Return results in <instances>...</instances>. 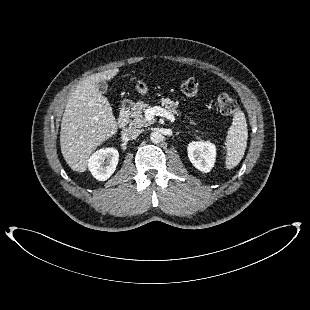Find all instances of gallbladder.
I'll return each instance as SVG.
<instances>
[{"mask_svg": "<svg viewBox=\"0 0 310 310\" xmlns=\"http://www.w3.org/2000/svg\"><path fill=\"white\" fill-rule=\"evenodd\" d=\"M97 87H98V90L100 91V93H102V94L107 93L108 85L105 81H99L97 83Z\"/></svg>", "mask_w": 310, "mask_h": 310, "instance_id": "gallbladder-1", "label": "gallbladder"}]
</instances>
